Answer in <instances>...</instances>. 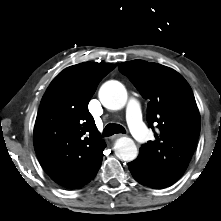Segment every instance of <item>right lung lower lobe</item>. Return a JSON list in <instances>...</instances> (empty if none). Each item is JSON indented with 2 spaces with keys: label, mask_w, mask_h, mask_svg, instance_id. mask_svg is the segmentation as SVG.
Wrapping results in <instances>:
<instances>
[{
  "label": "right lung lower lobe",
  "mask_w": 221,
  "mask_h": 221,
  "mask_svg": "<svg viewBox=\"0 0 221 221\" xmlns=\"http://www.w3.org/2000/svg\"><path fill=\"white\" fill-rule=\"evenodd\" d=\"M98 170H99V169H98ZM96 173H97V172H96ZM95 175H96V174H95ZM95 175H94V177H95ZM94 177H93V178H94ZM93 178H92V179H93ZM92 179H91V180H92Z\"/></svg>",
  "instance_id": "1"
}]
</instances>
